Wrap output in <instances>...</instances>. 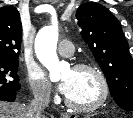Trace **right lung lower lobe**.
Masks as SVG:
<instances>
[{"label": "right lung lower lobe", "mask_w": 133, "mask_h": 118, "mask_svg": "<svg viewBox=\"0 0 133 118\" xmlns=\"http://www.w3.org/2000/svg\"><path fill=\"white\" fill-rule=\"evenodd\" d=\"M16 97V91L11 92V93H0V100L3 101H14Z\"/></svg>", "instance_id": "right-lung-lower-lobe-1"}]
</instances>
